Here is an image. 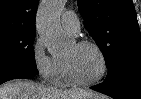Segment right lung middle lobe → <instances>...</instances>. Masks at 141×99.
I'll return each mask as SVG.
<instances>
[{
  "mask_svg": "<svg viewBox=\"0 0 141 99\" xmlns=\"http://www.w3.org/2000/svg\"><path fill=\"white\" fill-rule=\"evenodd\" d=\"M35 29L0 28V69H36L33 42Z\"/></svg>",
  "mask_w": 141,
  "mask_h": 99,
  "instance_id": "dd1d6c3e",
  "label": "right lung middle lobe"
}]
</instances>
